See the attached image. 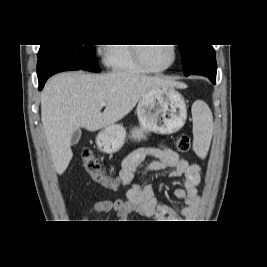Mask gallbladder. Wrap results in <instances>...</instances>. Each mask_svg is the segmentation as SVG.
<instances>
[{"label":"gallbladder","mask_w":267,"mask_h":267,"mask_svg":"<svg viewBox=\"0 0 267 267\" xmlns=\"http://www.w3.org/2000/svg\"><path fill=\"white\" fill-rule=\"evenodd\" d=\"M81 137V130L77 129L73 132L72 136H71V145H76Z\"/></svg>","instance_id":"obj_1"}]
</instances>
